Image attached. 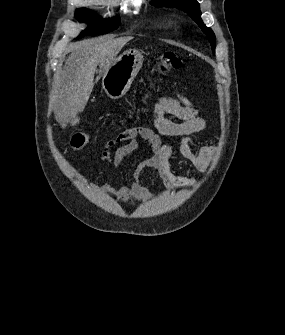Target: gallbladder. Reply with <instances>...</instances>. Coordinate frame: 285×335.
I'll return each instance as SVG.
<instances>
[{"mask_svg":"<svg viewBox=\"0 0 285 335\" xmlns=\"http://www.w3.org/2000/svg\"><path fill=\"white\" fill-rule=\"evenodd\" d=\"M71 124H72V126H76V124H79L78 116H76V118H74V120H72Z\"/></svg>","mask_w":285,"mask_h":335,"instance_id":"gallbladder-1","label":"gallbladder"}]
</instances>
